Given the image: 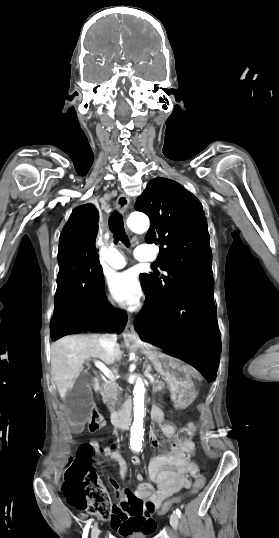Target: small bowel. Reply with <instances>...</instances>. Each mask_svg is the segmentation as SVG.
Instances as JSON below:
<instances>
[{"instance_id": "obj_1", "label": "small bowel", "mask_w": 279, "mask_h": 538, "mask_svg": "<svg viewBox=\"0 0 279 538\" xmlns=\"http://www.w3.org/2000/svg\"><path fill=\"white\" fill-rule=\"evenodd\" d=\"M154 422L160 427L163 435L167 438H172L175 434V427L171 424L163 423L162 414L154 415ZM151 443L157 448L160 442L156 435L151 433ZM96 450L99 449L98 443L93 441L90 443ZM187 446L174 441L171 445V453L168 455H159L155 457L149 466V478L155 485L152 487L146 483H140L135 490V494L139 498H148L155 506H159L169 496L179 492L182 489L190 487V471L186 458ZM107 456L117 460L120 466V474L123 480L127 476V468L124 460L118 454L108 452ZM133 465H139L141 460L135 456L131 460ZM143 477L138 474L137 480L142 481ZM111 526L121 535H126L135 531L143 533H153L156 524L152 516L123 518L113 516L110 519Z\"/></svg>"}]
</instances>
